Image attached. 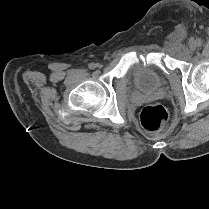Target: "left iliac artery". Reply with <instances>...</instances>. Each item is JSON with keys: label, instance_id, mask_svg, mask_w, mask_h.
Instances as JSON below:
<instances>
[{"label": "left iliac artery", "instance_id": "1", "mask_svg": "<svg viewBox=\"0 0 209 209\" xmlns=\"http://www.w3.org/2000/svg\"><path fill=\"white\" fill-rule=\"evenodd\" d=\"M196 45L199 47L202 45V41L200 39L196 40Z\"/></svg>", "mask_w": 209, "mask_h": 209}]
</instances>
